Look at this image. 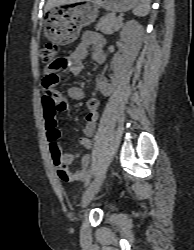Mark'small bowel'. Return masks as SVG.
I'll use <instances>...</instances> for the list:
<instances>
[{
    "instance_id": "obj_1",
    "label": "small bowel",
    "mask_w": 194,
    "mask_h": 250,
    "mask_svg": "<svg viewBox=\"0 0 194 250\" xmlns=\"http://www.w3.org/2000/svg\"><path fill=\"white\" fill-rule=\"evenodd\" d=\"M105 44L104 38L96 32H84L81 36V41L75 48L72 54L62 58V64L59 69L55 70L50 66L44 69L45 78L51 74H56L59 71H69L76 75L80 74L84 70L83 61L88 55L89 49H92V57L97 63H103L105 61V53L103 50ZM43 81V87L47 94L53 96L54 100L58 104V109L53 114L44 113L45 129L47 132V138L50 141V153L53 161L55 162L58 157L60 162L67 166L70 165L77 154L72 152H63L57 140L60 136V132L57 125V112L66 108V99L59 92L53 89V86L48 85ZM100 89L103 92L109 91L111 87L110 81L105 77L99 78ZM84 90L79 86H69L66 89V96L73 100H82L84 98ZM99 100L96 97L90 98L86 103V113L84 116V137L79 140L82 147L89 149L91 147L90 137L93 135L96 128V120L98 117ZM90 156L84 155L81 159V166L75 172L70 173V179L67 181H83L87 178V171L90 165Z\"/></svg>"
}]
</instances>
